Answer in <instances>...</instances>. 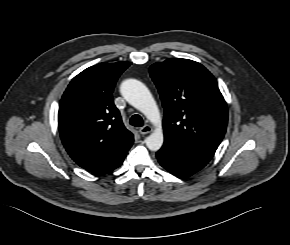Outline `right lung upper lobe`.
I'll return each mask as SVG.
<instances>
[{
	"instance_id": "1",
	"label": "right lung upper lobe",
	"mask_w": 290,
	"mask_h": 245,
	"mask_svg": "<svg viewBox=\"0 0 290 245\" xmlns=\"http://www.w3.org/2000/svg\"><path fill=\"white\" fill-rule=\"evenodd\" d=\"M130 62L100 63L72 79L59 105L58 129L70 157L97 174L119 167L133 144L112 92Z\"/></svg>"
}]
</instances>
